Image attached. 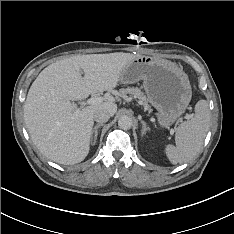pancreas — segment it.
I'll return each instance as SVG.
<instances>
[{
	"label": "pancreas",
	"instance_id": "cf45deb5",
	"mask_svg": "<svg viewBox=\"0 0 234 234\" xmlns=\"http://www.w3.org/2000/svg\"><path fill=\"white\" fill-rule=\"evenodd\" d=\"M120 93L122 95H125V94H131L133 95V97L136 99H138V102L139 104L143 105L144 108L146 110H148L150 107L148 105V102H147V98L146 96L144 95V93L141 91V89H139L138 87H128V88H123L120 90Z\"/></svg>",
	"mask_w": 234,
	"mask_h": 234
}]
</instances>
